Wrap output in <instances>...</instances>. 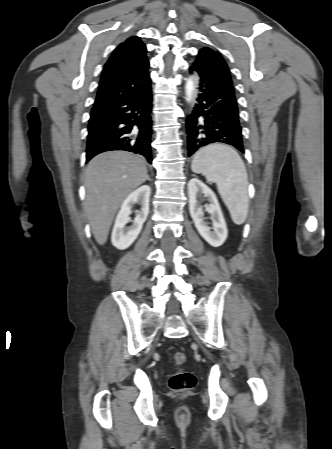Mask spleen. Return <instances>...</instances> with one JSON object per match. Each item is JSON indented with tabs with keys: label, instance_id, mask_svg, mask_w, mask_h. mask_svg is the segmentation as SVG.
Wrapping results in <instances>:
<instances>
[{
	"label": "spleen",
	"instance_id": "3e777b00",
	"mask_svg": "<svg viewBox=\"0 0 332 449\" xmlns=\"http://www.w3.org/2000/svg\"><path fill=\"white\" fill-rule=\"evenodd\" d=\"M191 169L216 183L233 222L243 224L249 209L248 176L239 154L227 145H208L195 154Z\"/></svg>",
	"mask_w": 332,
	"mask_h": 449
}]
</instances>
